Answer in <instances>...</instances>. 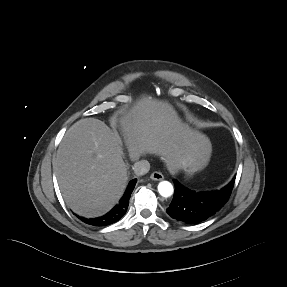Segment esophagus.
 <instances>
[{
    "label": "esophagus",
    "instance_id": "1",
    "mask_svg": "<svg viewBox=\"0 0 287 287\" xmlns=\"http://www.w3.org/2000/svg\"><path fill=\"white\" fill-rule=\"evenodd\" d=\"M150 178L155 181H160L164 178V176L162 173L155 171L151 174Z\"/></svg>",
    "mask_w": 287,
    "mask_h": 287
}]
</instances>
